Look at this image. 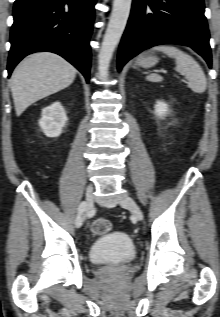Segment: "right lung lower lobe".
I'll return each mask as SVG.
<instances>
[{
	"label": "right lung lower lobe",
	"instance_id": "right-lung-lower-lobe-1",
	"mask_svg": "<svg viewBox=\"0 0 220 317\" xmlns=\"http://www.w3.org/2000/svg\"><path fill=\"white\" fill-rule=\"evenodd\" d=\"M96 0H16L8 73L26 55L50 51L73 64L89 81V39Z\"/></svg>",
	"mask_w": 220,
	"mask_h": 317
}]
</instances>
